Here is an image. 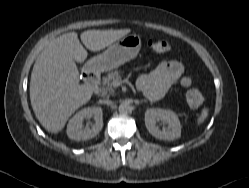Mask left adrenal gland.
Listing matches in <instances>:
<instances>
[{
	"label": "left adrenal gland",
	"mask_w": 249,
	"mask_h": 188,
	"mask_svg": "<svg viewBox=\"0 0 249 188\" xmlns=\"http://www.w3.org/2000/svg\"><path fill=\"white\" fill-rule=\"evenodd\" d=\"M143 101H144V102H147V100H146V99L142 100V102H143Z\"/></svg>",
	"instance_id": "obj_1"
}]
</instances>
